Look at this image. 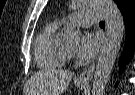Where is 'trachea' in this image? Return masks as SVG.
I'll use <instances>...</instances> for the list:
<instances>
[{
    "label": "trachea",
    "instance_id": "trachea-1",
    "mask_svg": "<svg viewBox=\"0 0 135 95\" xmlns=\"http://www.w3.org/2000/svg\"><path fill=\"white\" fill-rule=\"evenodd\" d=\"M99 25H105L104 21H100Z\"/></svg>",
    "mask_w": 135,
    "mask_h": 95
}]
</instances>
